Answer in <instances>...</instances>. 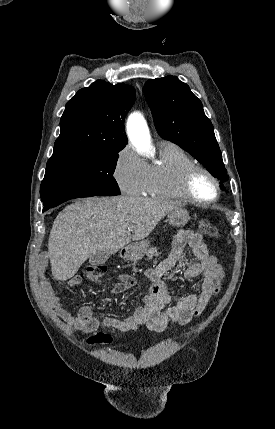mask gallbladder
<instances>
[{
	"label": "gallbladder",
	"mask_w": 275,
	"mask_h": 429,
	"mask_svg": "<svg viewBox=\"0 0 275 429\" xmlns=\"http://www.w3.org/2000/svg\"><path fill=\"white\" fill-rule=\"evenodd\" d=\"M109 252L108 251H100L91 258H89V263L92 266H99L103 263H105L109 259Z\"/></svg>",
	"instance_id": "1"
}]
</instances>
